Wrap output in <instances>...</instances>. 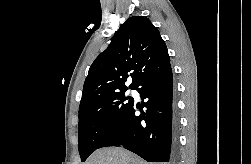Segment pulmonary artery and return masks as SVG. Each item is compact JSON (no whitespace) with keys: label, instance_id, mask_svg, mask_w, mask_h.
I'll return each instance as SVG.
<instances>
[{"label":"pulmonary artery","instance_id":"obj_1","mask_svg":"<svg viewBox=\"0 0 251 164\" xmlns=\"http://www.w3.org/2000/svg\"><path fill=\"white\" fill-rule=\"evenodd\" d=\"M131 92H132V94H136V91H135V90H132Z\"/></svg>","mask_w":251,"mask_h":164}]
</instances>
